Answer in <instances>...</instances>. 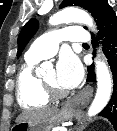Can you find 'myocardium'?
<instances>
[{
    "mask_svg": "<svg viewBox=\"0 0 117 131\" xmlns=\"http://www.w3.org/2000/svg\"><path fill=\"white\" fill-rule=\"evenodd\" d=\"M42 85L44 87V90L48 94L49 97L53 99H60L64 98L68 95V92L57 87L56 85L46 81L44 78H41Z\"/></svg>",
    "mask_w": 117,
    "mask_h": 131,
    "instance_id": "f54148a6",
    "label": "myocardium"
}]
</instances>
